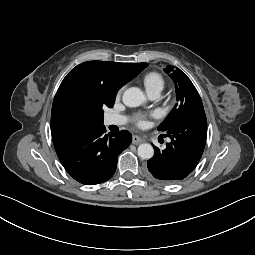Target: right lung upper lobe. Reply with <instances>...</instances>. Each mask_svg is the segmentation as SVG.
Segmentation results:
<instances>
[{"label": "right lung upper lobe", "mask_w": 255, "mask_h": 255, "mask_svg": "<svg viewBox=\"0 0 255 255\" xmlns=\"http://www.w3.org/2000/svg\"><path fill=\"white\" fill-rule=\"evenodd\" d=\"M147 66V63L87 61L74 67L63 79L53 101L51 113L52 137L103 125V123L79 124L66 117L59 106L61 94L65 89L79 87L98 94L106 100H115L117 91Z\"/></svg>", "instance_id": "1"}]
</instances>
